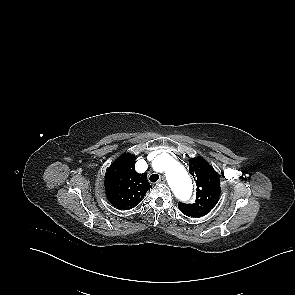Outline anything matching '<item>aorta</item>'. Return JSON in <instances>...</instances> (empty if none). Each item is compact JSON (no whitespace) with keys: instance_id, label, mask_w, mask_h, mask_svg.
<instances>
[{"instance_id":"obj_1","label":"aorta","mask_w":295,"mask_h":295,"mask_svg":"<svg viewBox=\"0 0 295 295\" xmlns=\"http://www.w3.org/2000/svg\"><path fill=\"white\" fill-rule=\"evenodd\" d=\"M158 159L175 196L188 200L192 194V181L186 169L168 154H161Z\"/></svg>"}]
</instances>
